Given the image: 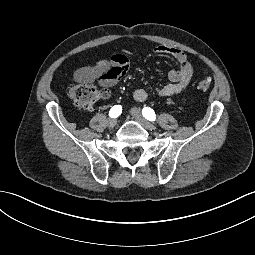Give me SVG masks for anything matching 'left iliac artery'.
<instances>
[{
	"instance_id": "44dca946",
	"label": "left iliac artery",
	"mask_w": 255,
	"mask_h": 255,
	"mask_svg": "<svg viewBox=\"0 0 255 255\" xmlns=\"http://www.w3.org/2000/svg\"><path fill=\"white\" fill-rule=\"evenodd\" d=\"M142 115L149 121H155L156 119V115L153 111V109L149 108V107H144L142 109Z\"/></svg>"
}]
</instances>
